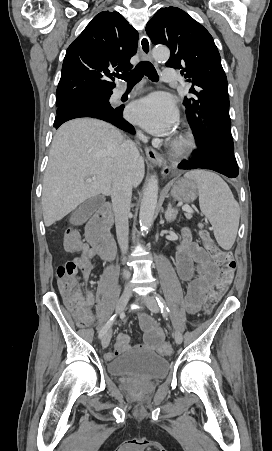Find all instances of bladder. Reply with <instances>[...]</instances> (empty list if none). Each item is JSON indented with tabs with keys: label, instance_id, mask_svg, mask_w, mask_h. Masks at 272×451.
I'll return each mask as SVG.
<instances>
[{
	"label": "bladder",
	"instance_id": "1",
	"mask_svg": "<svg viewBox=\"0 0 272 451\" xmlns=\"http://www.w3.org/2000/svg\"><path fill=\"white\" fill-rule=\"evenodd\" d=\"M110 376L142 379L163 378L169 371V361L158 353H128L118 355L106 367Z\"/></svg>",
	"mask_w": 272,
	"mask_h": 451
}]
</instances>
